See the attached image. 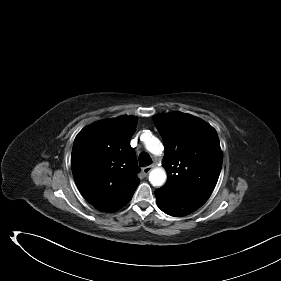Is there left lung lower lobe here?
Masks as SVG:
<instances>
[{
	"mask_svg": "<svg viewBox=\"0 0 281 281\" xmlns=\"http://www.w3.org/2000/svg\"><path fill=\"white\" fill-rule=\"evenodd\" d=\"M158 207L171 216H185L200 208L207 200L194 196L189 191L161 187L155 191Z\"/></svg>",
	"mask_w": 281,
	"mask_h": 281,
	"instance_id": "1",
	"label": "left lung lower lobe"
}]
</instances>
